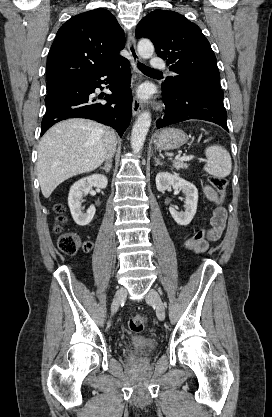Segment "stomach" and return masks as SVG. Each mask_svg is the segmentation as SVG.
Here are the masks:
<instances>
[{
	"instance_id": "0dacf381",
	"label": "stomach",
	"mask_w": 272,
	"mask_h": 417,
	"mask_svg": "<svg viewBox=\"0 0 272 417\" xmlns=\"http://www.w3.org/2000/svg\"><path fill=\"white\" fill-rule=\"evenodd\" d=\"M188 140L186 133L176 128L161 130L154 139V146L158 150H174L180 148Z\"/></svg>"
}]
</instances>
